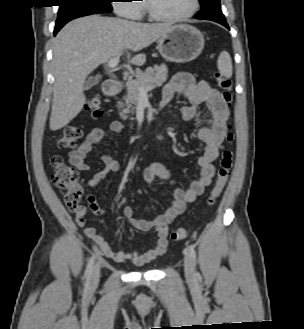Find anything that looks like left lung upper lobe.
<instances>
[{"label":"left lung upper lobe","instance_id":"left-lung-upper-lobe-1","mask_svg":"<svg viewBox=\"0 0 304 329\" xmlns=\"http://www.w3.org/2000/svg\"><path fill=\"white\" fill-rule=\"evenodd\" d=\"M201 6L203 7L205 4H207L210 0H199Z\"/></svg>","mask_w":304,"mask_h":329}]
</instances>
